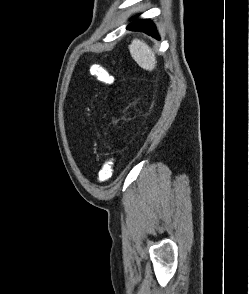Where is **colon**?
Here are the masks:
<instances>
[{
    "label": "colon",
    "mask_w": 249,
    "mask_h": 294,
    "mask_svg": "<svg viewBox=\"0 0 249 294\" xmlns=\"http://www.w3.org/2000/svg\"><path fill=\"white\" fill-rule=\"evenodd\" d=\"M90 73L96 77L101 83L110 85L113 82V76L106 70L100 67H93ZM114 160H107L101 167L98 174L99 182L108 181L113 174Z\"/></svg>",
    "instance_id": "colon-1"
}]
</instances>
